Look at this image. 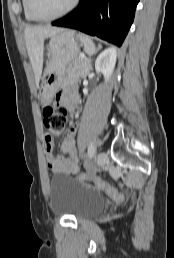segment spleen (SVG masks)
I'll return each mask as SVG.
<instances>
[{
	"label": "spleen",
	"instance_id": "1",
	"mask_svg": "<svg viewBox=\"0 0 174 258\" xmlns=\"http://www.w3.org/2000/svg\"><path fill=\"white\" fill-rule=\"evenodd\" d=\"M78 38L84 45V51L87 55L92 56L96 53L95 44L93 43L92 39L86 35L78 34Z\"/></svg>",
	"mask_w": 174,
	"mask_h": 258
}]
</instances>
